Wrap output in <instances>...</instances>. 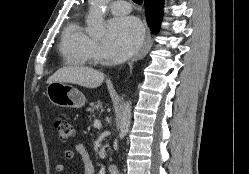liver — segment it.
I'll use <instances>...</instances> for the list:
<instances>
[{
	"label": "liver",
	"mask_w": 249,
	"mask_h": 174,
	"mask_svg": "<svg viewBox=\"0 0 249 174\" xmlns=\"http://www.w3.org/2000/svg\"><path fill=\"white\" fill-rule=\"evenodd\" d=\"M104 81V74L90 67L68 66L57 70L47 83L62 82L77 84L86 88H97Z\"/></svg>",
	"instance_id": "1"
}]
</instances>
